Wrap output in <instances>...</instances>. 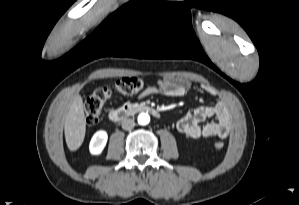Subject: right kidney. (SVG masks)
Segmentation results:
<instances>
[{
    "label": "right kidney",
    "instance_id": "ca27d5eb",
    "mask_svg": "<svg viewBox=\"0 0 299 205\" xmlns=\"http://www.w3.org/2000/svg\"><path fill=\"white\" fill-rule=\"evenodd\" d=\"M108 134L104 130L97 131L89 144V151L92 155H100L107 143Z\"/></svg>",
    "mask_w": 299,
    "mask_h": 205
}]
</instances>
